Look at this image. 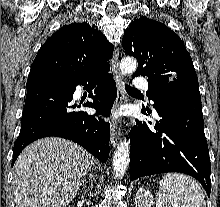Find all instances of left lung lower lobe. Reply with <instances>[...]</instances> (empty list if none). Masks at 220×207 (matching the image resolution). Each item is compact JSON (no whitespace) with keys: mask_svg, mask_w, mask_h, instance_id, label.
<instances>
[{"mask_svg":"<svg viewBox=\"0 0 220 207\" xmlns=\"http://www.w3.org/2000/svg\"><path fill=\"white\" fill-rule=\"evenodd\" d=\"M152 100L159 120L150 122L151 127L136 120L130 131V179L181 172L197 179L210 196L211 163L199 87L167 86L152 94Z\"/></svg>","mask_w":220,"mask_h":207,"instance_id":"1","label":"left lung lower lobe"}]
</instances>
